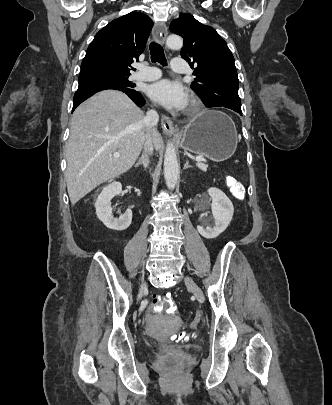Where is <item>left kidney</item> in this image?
<instances>
[{
	"label": "left kidney",
	"instance_id": "obj_1",
	"mask_svg": "<svg viewBox=\"0 0 332 405\" xmlns=\"http://www.w3.org/2000/svg\"><path fill=\"white\" fill-rule=\"evenodd\" d=\"M208 193L212 200L211 209L214 226L211 227L206 221H203L205 227L198 225L197 230L204 238L213 239L219 236L231 222L234 207L226 194L218 188H210Z\"/></svg>",
	"mask_w": 332,
	"mask_h": 405
}]
</instances>
